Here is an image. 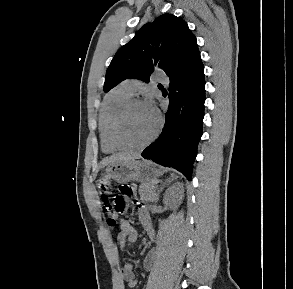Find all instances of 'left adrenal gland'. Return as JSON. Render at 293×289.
<instances>
[{"label": "left adrenal gland", "mask_w": 293, "mask_h": 289, "mask_svg": "<svg viewBox=\"0 0 293 289\" xmlns=\"http://www.w3.org/2000/svg\"><path fill=\"white\" fill-rule=\"evenodd\" d=\"M175 179H177V176H175L174 174H172V175L170 176V178H168V179L166 180V182H161L162 185H161V187H160L159 190H158V197H159L161 191L163 190V188L165 187L166 183H170L171 181H173V180H175ZM158 199H159V198H158ZM157 201H158V200H157Z\"/></svg>", "instance_id": "left-adrenal-gland-1"}]
</instances>
